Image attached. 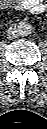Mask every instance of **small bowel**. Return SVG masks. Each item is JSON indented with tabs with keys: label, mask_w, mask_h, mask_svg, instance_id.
Instances as JSON below:
<instances>
[{
	"label": "small bowel",
	"mask_w": 47,
	"mask_h": 129,
	"mask_svg": "<svg viewBox=\"0 0 47 129\" xmlns=\"http://www.w3.org/2000/svg\"><path fill=\"white\" fill-rule=\"evenodd\" d=\"M12 3H15L19 9L28 10L33 14L42 13L46 8L43 0H2L3 6H9Z\"/></svg>",
	"instance_id": "obj_1"
}]
</instances>
